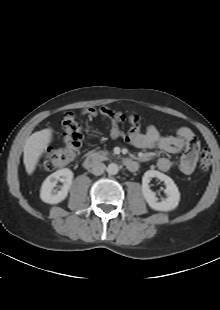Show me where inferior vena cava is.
Here are the masks:
<instances>
[{
    "mask_svg": "<svg viewBox=\"0 0 220 310\" xmlns=\"http://www.w3.org/2000/svg\"><path fill=\"white\" fill-rule=\"evenodd\" d=\"M106 166L102 162H95L92 166V173L96 176H99L104 173Z\"/></svg>",
    "mask_w": 220,
    "mask_h": 310,
    "instance_id": "inferior-vena-cava-1",
    "label": "inferior vena cava"
}]
</instances>
